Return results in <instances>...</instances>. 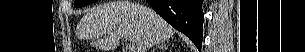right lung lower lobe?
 <instances>
[{
	"label": "right lung lower lobe",
	"mask_w": 305,
	"mask_h": 52,
	"mask_svg": "<svg viewBox=\"0 0 305 52\" xmlns=\"http://www.w3.org/2000/svg\"><path fill=\"white\" fill-rule=\"evenodd\" d=\"M171 26L188 36L201 49L203 0H146Z\"/></svg>",
	"instance_id": "obj_1"
}]
</instances>
